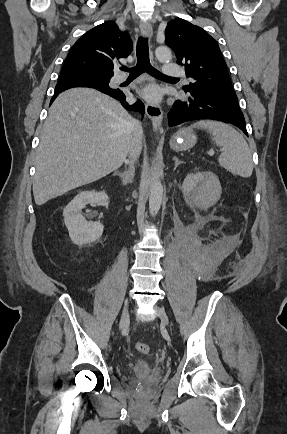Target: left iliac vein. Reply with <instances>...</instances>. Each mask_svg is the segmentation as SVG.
<instances>
[{
	"label": "left iliac vein",
	"instance_id": "obj_1",
	"mask_svg": "<svg viewBox=\"0 0 287 434\" xmlns=\"http://www.w3.org/2000/svg\"><path fill=\"white\" fill-rule=\"evenodd\" d=\"M157 315L159 316V318L161 319L162 323L166 326L169 325V319L168 316L165 312V310L161 307H155Z\"/></svg>",
	"mask_w": 287,
	"mask_h": 434
}]
</instances>
